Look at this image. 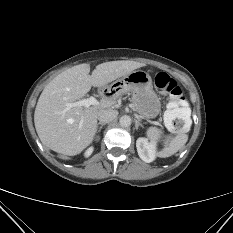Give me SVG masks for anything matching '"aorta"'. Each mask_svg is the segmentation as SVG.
<instances>
[{
    "label": "aorta",
    "instance_id": "aorta-1",
    "mask_svg": "<svg viewBox=\"0 0 233 233\" xmlns=\"http://www.w3.org/2000/svg\"><path fill=\"white\" fill-rule=\"evenodd\" d=\"M119 123L122 127H129L131 125V118L128 115H124L120 118Z\"/></svg>",
    "mask_w": 233,
    "mask_h": 233
}]
</instances>
